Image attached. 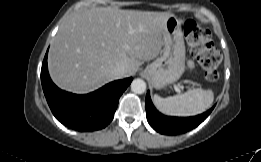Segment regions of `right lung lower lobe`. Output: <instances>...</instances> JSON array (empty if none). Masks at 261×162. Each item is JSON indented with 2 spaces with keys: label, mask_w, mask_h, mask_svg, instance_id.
I'll list each match as a JSON object with an SVG mask.
<instances>
[{
  "label": "right lung lower lobe",
  "mask_w": 261,
  "mask_h": 162,
  "mask_svg": "<svg viewBox=\"0 0 261 162\" xmlns=\"http://www.w3.org/2000/svg\"><path fill=\"white\" fill-rule=\"evenodd\" d=\"M133 78L117 80L86 94L77 95L59 89L47 68V53L42 63L41 83L47 103L59 122L81 132L105 128L113 119L122 93Z\"/></svg>",
  "instance_id": "1"
}]
</instances>
